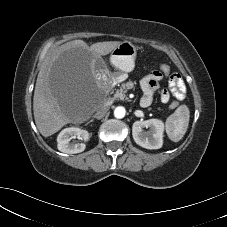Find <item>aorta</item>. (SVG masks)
Returning <instances> with one entry per match:
<instances>
[{
	"label": "aorta",
	"instance_id": "obj_1",
	"mask_svg": "<svg viewBox=\"0 0 227 227\" xmlns=\"http://www.w3.org/2000/svg\"><path fill=\"white\" fill-rule=\"evenodd\" d=\"M126 110L123 106H118L114 110V116L118 119H121L125 116Z\"/></svg>",
	"mask_w": 227,
	"mask_h": 227
}]
</instances>
